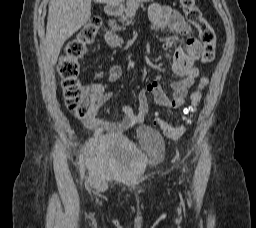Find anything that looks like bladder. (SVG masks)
<instances>
[{"mask_svg":"<svg viewBox=\"0 0 256 228\" xmlns=\"http://www.w3.org/2000/svg\"><path fill=\"white\" fill-rule=\"evenodd\" d=\"M140 138L142 147L121 136L91 138L85 147L87 163L104 179L138 177L165 152L164 140L156 130L142 128Z\"/></svg>","mask_w":256,"mask_h":228,"instance_id":"1","label":"bladder"}]
</instances>
